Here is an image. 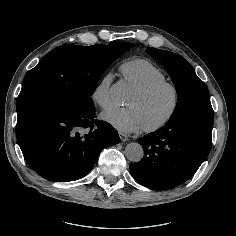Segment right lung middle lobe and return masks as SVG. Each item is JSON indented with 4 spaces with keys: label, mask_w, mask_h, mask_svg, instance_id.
<instances>
[{
    "label": "right lung middle lobe",
    "mask_w": 236,
    "mask_h": 236,
    "mask_svg": "<svg viewBox=\"0 0 236 236\" xmlns=\"http://www.w3.org/2000/svg\"><path fill=\"white\" fill-rule=\"evenodd\" d=\"M131 43L65 46L49 52L29 70L17 99L18 120L47 107H94L91 95L109 65Z\"/></svg>",
    "instance_id": "1"
}]
</instances>
